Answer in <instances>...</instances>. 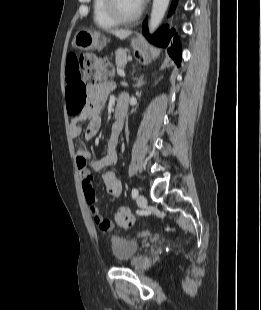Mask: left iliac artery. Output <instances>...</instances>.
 <instances>
[{
    "mask_svg": "<svg viewBox=\"0 0 261 310\" xmlns=\"http://www.w3.org/2000/svg\"><path fill=\"white\" fill-rule=\"evenodd\" d=\"M132 198H136L138 196V190L136 188L132 189Z\"/></svg>",
    "mask_w": 261,
    "mask_h": 310,
    "instance_id": "obj_1",
    "label": "left iliac artery"
}]
</instances>
